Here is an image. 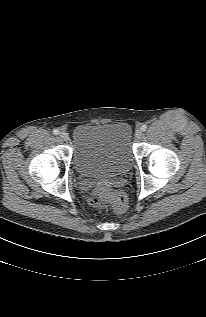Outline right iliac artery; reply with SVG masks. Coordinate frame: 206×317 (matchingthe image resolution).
I'll use <instances>...</instances> for the list:
<instances>
[{
  "label": "right iliac artery",
  "mask_w": 206,
  "mask_h": 317,
  "mask_svg": "<svg viewBox=\"0 0 206 317\" xmlns=\"http://www.w3.org/2000/svg\"><path fill=\"white\" fill-rule=\"evenodd\" d=\"M53 134H54V135H58V134H59V130H58V129H54V130H53Z\"/></svg>",
  "instance_id": "82829eb1"
}]
</instances>
